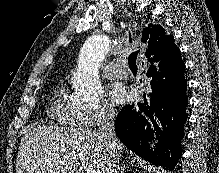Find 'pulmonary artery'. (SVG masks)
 Wrapping results in <instances>:
<instances>
[{
	"mask_svg": "<svg viewBox=\"0 0 219 173\" xmlns=\"http://www.w3.org/2000/svg\"><path fill=\"white\" fill-rule=\"evenodd\" d=\"M103 74L110 79H120L127 75V69L122 66L120 60H114L104 67Z\"/></svg>",
	"mask_w": 219,
	"mask_h": 173,
	"instance_id": "obj_1",
	"label": "pulmonary artery"
}]
</instances>
